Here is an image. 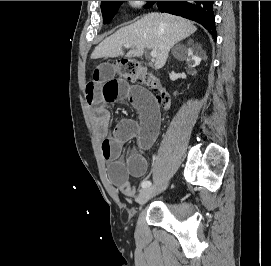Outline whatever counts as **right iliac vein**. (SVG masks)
Masks as SVG:
<instances>
[{
  "label": "right iliac vein",
  "mask_w": 271,
  "mask_h": 266,
  "mask_svg": "<svg viewBox=\"0 0 271 266\" xmlns=\"http://www.w3.org/2000/svg\"><path fill=\"white\" fill-rule=\"evenodd\" d=\"M166 188V186H163L159 189L156 188H145L142 189L136 199L137 203L142 205L144 203H146L151 197L155 196L156 194L162 192L164 189Z\"/></svg>",
  "instance_id": "right-iliac-vein-1"
}]
</instances>
